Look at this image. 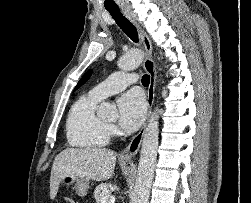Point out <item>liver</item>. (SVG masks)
Here are the masks:
<instances>
[{
    "label": "liver",
    "mask_w": 251,
    "mask_h": 203,
    "mask_svg": "<svg viewBox=\"0 0 251 203\" xmlns=\"http://www.w3.org/2000/svg\"><path fill=\"white\" fill-rule=\"evenodd\" d=\"M116 154L105 148H67L54 159L50 177V198L53 200L64 176L85 177L105 181L114 175Z\"/></svg>",
    "instance_id": "liver-1"
}]
</instances>
